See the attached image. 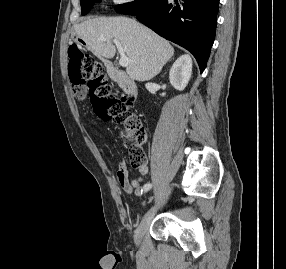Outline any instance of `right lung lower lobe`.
Wrapping results in <instances>:
<instances>
[{
	"instance_id": "98d812e1",
	"label": "right lung lower lobe",
	"mask_w": 286,
	"mask_h": 269,
	"mask_svg": "<svg viewBox=\"0 0 286 269\" xmlns=\"http://www.w3.org/2000/svg\"><path fill=\"white\" fill-rule=\"evenodd\" d=\"M219 0H158L137 19L160 36L189 50L203 72L214 42Z\"/></svg>"
}]
</instances>
